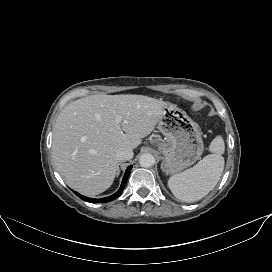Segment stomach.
I'll list each match as a JSON object with an SVG mask.
<instances>
[{"mask_svg": "<svg viewBox=\"0 0 272 272\" xmlns=\"http://www.w3.org/2000/svg\"><path fill=\"white\" fill-rule=\"evenodd\" d=\"M157 128L165 136L158 143L163 155L162 170L177 174L200 159L204 144L199 125L182 109L167 105L160 116Z\"/></svg>", "mask_w": 272, "mask_h": 272, "instance_id": "stomach-1", "label": "stomach"}]
</instances>
